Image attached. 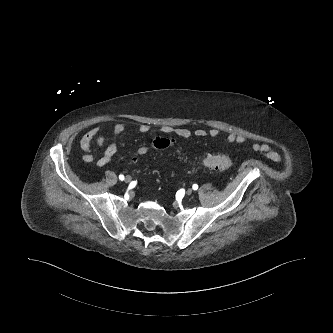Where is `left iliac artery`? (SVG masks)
<instances>
[{
	"label": "left iliac artery",
	"instance_id": "obj_1",
	"mask_svg": "<svg viewBox=\"0 0 333 333\" xmlns=\"http://www.w3.org/2000/svg\"><path fill=\"white\" fill-rule=\"evenodd\" d=\"M192 188H193V190H197L198 189V185L197 184H193Z\"/></svg>",
	"mask_w": 333,
	"mask_h": 333
}]
</instances>
